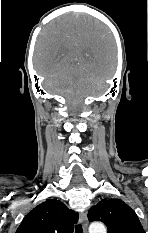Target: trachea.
<instances>
[{
    "instance_id": "obj_1",
    "label": "trachea",
    "mask_w": 148,
    "mask_h": 233,
    "mask_svg": "<svg viewBox=\"0 0 148 233\" xmlns=\"http://www.w3.org/2000/svg\"><path fill=\"white\" fill-rule=\"evenodd\" d=\"M75 233H83V229H82V225L81 224H78L75 227Z\"/></svg>"
}]
</instances>
